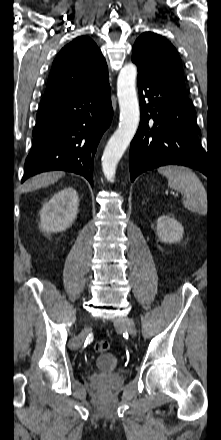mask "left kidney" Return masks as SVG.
<instances>
[{
  "mask_svg": "<svg viewBox=\"0 0 221 440\" xmlns=\"http://www.w3.org/2000/svg\"><path fill=\"white\" fill-rule=\"evenodd\" d=\"M183 226L174 218L162 215L157 220V235L162 242L175 243L182 239Z\"/></svg>",
  "mask_w": 221,
  "mask_h": 440,
  "instance_id": "obj_1",
  "label": "left kidney"
}]
</instances>
